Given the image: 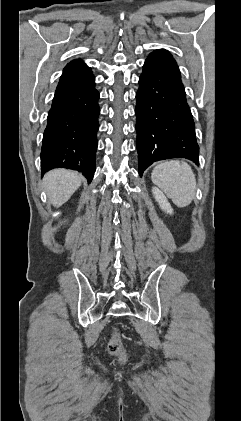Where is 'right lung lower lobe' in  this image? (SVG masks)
<instances>
[{"instance_id":"obj_1","label":"right lung lower lobe","mask_w":241,"mask_h":421,"mask_svg":"<svg viewBox=\"0 0 241 421\" xmlns=\"http://www.w3.org/2000/svg\"><path fill=\"white\" fill-rule=\"evenodd\" d=\"M99 93L92 71L74 60L60 77L41 148L42 174L53 168L82 172L91 182L95 172Z\"/></svg>"}]
</instances>
